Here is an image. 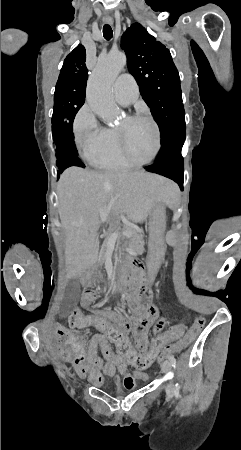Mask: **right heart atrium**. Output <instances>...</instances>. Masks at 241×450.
<instances>
[{
  "mask_svg": "<svg viewBox=\"0 0 241 450\" xmlns=\"http://www.w3.org/2000/svg\"><path fill=\"white\" fill-rule=\"evenodd\" d=\"M96 123L97 118L92 116L87 106L78 112L74 121V139L79 154L97 155L101 149V131Z\"/></svg>",
  "mask_w": 241,
  "mask_h": 450,
  "instance_id": "obj_1",
  "label": "right heart atrium"
}]
</instances>
